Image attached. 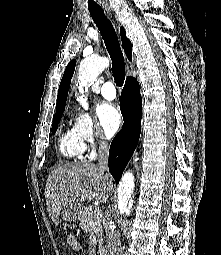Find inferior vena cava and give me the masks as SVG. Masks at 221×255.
Returning a JSON list of instances; mask_svg holds the SVG:
<instances>
[{
  "label": "inferior vena cava",
  "mask_w": 221,
  "mask_h": 255,
  "mask_svg": "<svg viewBox=\"0 0 221 255\" xmlns=\"http://www.w3.org/2000/svg\"><path fill=\"white\" fill-rule=\"evenodd\" d=\"M108 154L109 148L105 142L98 148V166L102 170L108 169ZM107 239V255H123L121 247L120 235L110 228V225L105 227Z\"/></svg>",
  "instance_id": "obj_1"
}]
</instances>
